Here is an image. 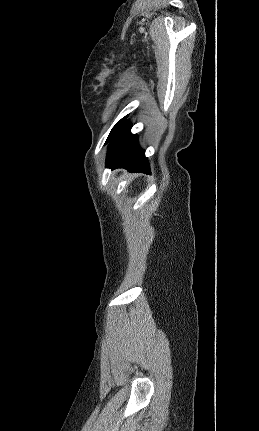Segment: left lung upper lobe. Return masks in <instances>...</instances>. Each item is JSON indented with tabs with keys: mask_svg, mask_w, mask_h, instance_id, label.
<instances>
[{
	"mask_svg": "<svg viewBox=\"0 0 259 431\" xmlns=\"http://www.w3.org/2000/svg\"><path fill=\"white\" fill-rule=\"evenodd\" d=\"M127 117V116H126ZM126 117H124V118H122L114 127H113V129L111 130V132H110V134H109V136L111 135V133L114 131V129L126 118Z\"/></svg>",
	"mask_w": 259,
	"mask_h": 431,
	"instance_id": "obj_1",
	"label": "left lung upper lobe"
}]
</instances>
